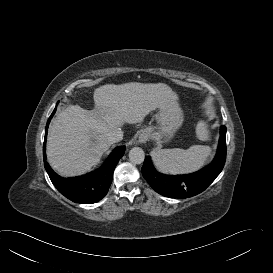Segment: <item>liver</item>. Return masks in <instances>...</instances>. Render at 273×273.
<instances>
[{
    "label": "liver",
    "instance_id": "1",
    "mask_svg": "<svg viewBox=\"0 0 273 273\" xmlns=\"http://www.w3.org/2000/svg\"><path fill=\"white\" fill-rule=\"evenodd\" d=\"M93 97V110L68 106L50 127L48 162L64 176L82 174L95 166L112 145L109 134L124 123H138L159 106L178 101L164 83L107 84L96 89Z\"/></svg>",
    "mask_w": 273,
    "mask_h": 273
}]
</instances>
